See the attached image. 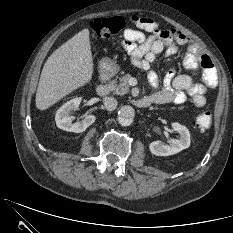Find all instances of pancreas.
Returning <instances> with one entry per match:
<instances>
[{
	"mask_svg": "<svg viewBox=\"0 0 233 233\" xmlns=\"http://www.w3.org/2000/svg\"><path fill=\"white\" fill-rule=\"evenodd\" d=\"M130 75L126 74L122 78H119V81L112 80L107 84L108 89L116 95H124L129 91L128 80L130 79Z\"/></svg>",
	"mask_w": 233,
	"mask_h": 233,
	"instance_id": "1",
	"label": "pancreas"
}]
</instances>
